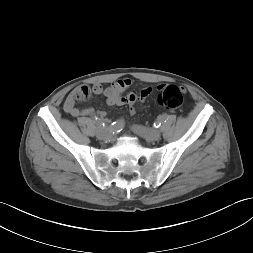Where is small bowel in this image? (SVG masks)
<instances>
[{"mask_svg": "<svg viewBox=\"0 0 253 253\" xmlns=\"http://www.w3.org/2000/svg\"><path fill=\"white\" fill-rule=\"evenodd\" d=\"M132 84V81L129 78H122L117 80L115 83L111 84L108 87H104L101 84H95L92 86V91L95 94H103L106 97V102L109 105H128L129 111L131 114L135 113V103L137 101L144 100L150 93L151 88H145L143 89L139 95L134 93H129L126 95H123V92L130 87ZM79 88H76L73 90L69 96L67 97V100L64 105V110L66 113L71 115L72 117H78V116H87L92 117L95 115V111L92 108H85V109H79L75 107V105L72 103V95L74 92H76ZM99 118L101 120H106L105 112L100 111L98 113Z\"/></svg>", "mask_w": 253, "mask_h": 253, "instance_id": "c3829d8e", "label": "small bowel"}]
</instances>
